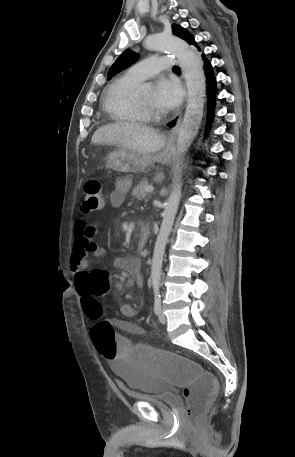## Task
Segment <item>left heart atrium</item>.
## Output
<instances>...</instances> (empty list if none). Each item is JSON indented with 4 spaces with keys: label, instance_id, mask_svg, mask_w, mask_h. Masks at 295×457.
<instances>
[{
    "label": "left heart atrium",
    "instance_id": "1",
    "mask_svg": "<svg viewBox=\"0 0 295 457\" xmlns=\"http://www.w3.org/2000/svg\"><path fill=\"white\" fill-rule=\"evenodd\" d=\"M180 101L181 91L176 82L166 78H161L156 82L152 102L157 109L162 111L171 110Z\"/></svg>",
    "mask_w": 295,
    "mask_h": 457
}]
</instances>
